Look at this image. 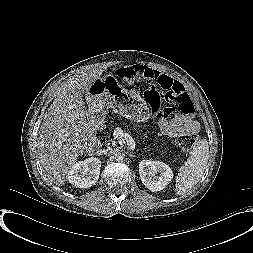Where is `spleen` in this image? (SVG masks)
Segmentation results:
<instances>
[{"instance_id": "spleen-1", "label": "spleen", "mask_w": 253, "mask_h": 253, "mask_svg": "<svg viewBox=\"0 0 253 253\" xmlns=\"http://www.w3.org/2000/svg\"><path fill=\"white\" fill-rule=\"evenodd\" d=\"M209 147L207 140L202 139L193 145L191 156L180 167L176 179V195H184L200 180L207 166Z\"/></svg>"}]
</instances>
